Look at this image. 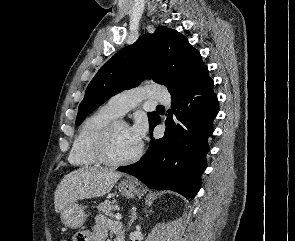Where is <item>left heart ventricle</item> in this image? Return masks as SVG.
<instances>
[{
    "label": "left heart ventricle",
    "instance_id": "1",
    "mask_svg": "<svg viewBox=\"0 0 295 241\" xmlns=\"http://www.w3.org/2000/svg\"><path fill=\"white\" fill-rule=\"evenodd\" d=\"M139 145L130 135L129 128L118 124L113 134L110 154L114 159H125L135 154Z\"/></svg>",
    "mask_w": 295,
    "mask_h": 241
}]
</instances>
